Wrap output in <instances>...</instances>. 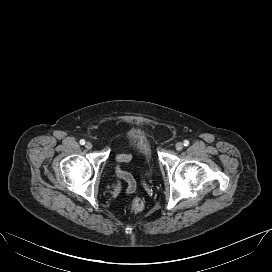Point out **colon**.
Here are the masks:
<instances>
[{"mask_svg": "<svg viewBox=\"0 0 272 272\" xmlns=\"http://www.w3.org/2000/svg\"><path fill=\"white\" fill-rule=\"evenodd\" d=\"M144 209V202L140 198H134L130 205V210L133 213H139Z\"/></svg>", "mask_w": 272, "mask_h": 272, "instance_id": "colon-1", "label": "colon"}]
</instances>
